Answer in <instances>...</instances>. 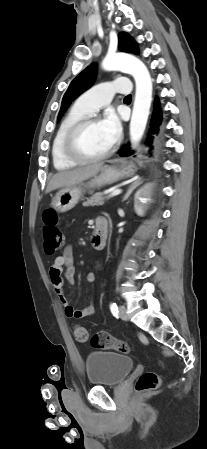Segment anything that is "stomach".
<instances>
[{
	"label": "stomach",
	"instance_id": "stomach-1",
	"mask_svg": "<svg viewBox=\"0 0 207 449\" xmlns=\"http://www.w3.org/2000/svg\"><path fill=\"white\" fill-rule=\"evenodd\" d=\"M136 167L129 162L121 161L116 165L104 166L99 175L94 176L87 184H78L59 190L52 199V208L59 213H64L79 202L83 196L84 187L95 188L115 183L124 178L132 177Z\"/></svg>",
	"mask_w": 207,
	"mask_h": 449
}]
</instances>
